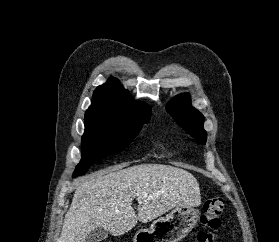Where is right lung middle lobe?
Masks as SVG:
<instances>
[{"label":"right lung middle lobe","instance_id":"dd1d6c3e","mask_svg":"<svg viewBox=\"0 0 279 242\" xmlns=\"http://www.w3.org/2000/svg\"><path fill=\"white\" fill-rule=\"evenodd\" d=\"M147 122L122 125L102 119H85L82 159L73 177L84 175L93 163L105 156L117 155L125 150Z\"/></svg>","mask_w":279,"mask_h":242}]
</instances>
